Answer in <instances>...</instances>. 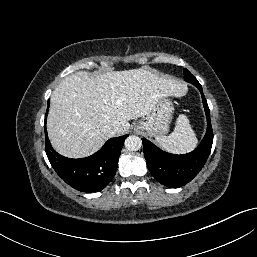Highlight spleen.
<instances>
[{
	"label": "spleen",
	"instance_id": "spleen-1",
	"mask_svg": "<svg viewBox=\"0 0 257 257\" xmlns=\"http://www.w3.org/2000/svg\"><path fill=\"white\" fill-rule=\"evenodd\" d=\"M161 148L172 153H185L194 149L197 145V137L190 122L185 115H180L176 121L174 132L169 136L156 137Z\"/></svg>",
	"mask_w": 257,
	"mask_h": 257
}]
</instances>
